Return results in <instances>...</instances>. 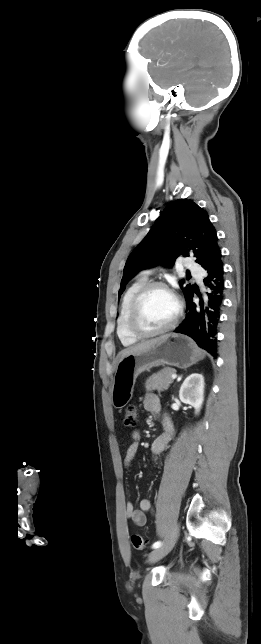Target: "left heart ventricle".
I'll return each mask as SVG.
<instances>
[{
    "label": "left heart ventricle",
    "mask_w": 261,
    "mask_h": 644,
    "mask_svg": "<svg viewBox=\"0 0 261 644\" xmlns=\"http://www.w3.org/2000/svg\"><path fill=\"white\" fill-rule=\"evenodd\" d=\"M176 309V300L169 292L153 289L141 303L138 324L145 331L163 328L172 321Z\"/></svg>",
    "instance_id": "obj_1"
}]
</instances>
